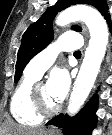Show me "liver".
<instances>
[{
  "instance_id": "liver-1",
  "label": "liver",
  "mask_w": 112,
  "mask_h": 135,
  "mask_svg": "<svg viewBox=\"0 0 112 135\" xmlns=\"http://www.w3.org/2000/svg\"><path fill=\"white\" fill-rule=\"evenodd\" d=\"M0 134H9V135H45V128L38 129H25L20 126H17L14 123H6L3 131H0Z\"/></svg>"
}]
</instances>
